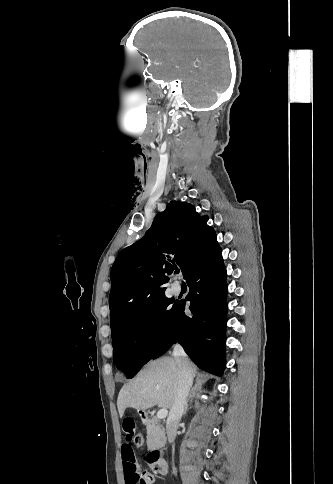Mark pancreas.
Wrapping results in <instances>:
<instances>
[{"label": "pancreas", "instance_id": "1", "mask_svg": "<svg viewBox=\"0 0 333 484\" xmlns=\"http://www.w3.org/2000/svg\"><path fill=\"white\" fill-rule=\"evenodd\" d=\"M166 443L165 430L158 418L153 417L147 425V447L149 450L162 447Z\"/></svg>", "mask_w": 333, "mask_h": 484}]
</instances>
